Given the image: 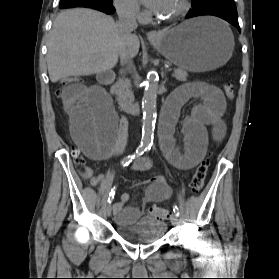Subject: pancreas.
I'll return each mask as SVG.
<instances>
[{
    "label": "pancreas",
    "instance_id": "cf45deb5",
    "mask_svg": "<svg viewBox=\"0 0 279 279\" xmlns=\"http://www.w3.org/2000/svg\"><path fill=\"white\" fill-rule=\"evenodd\" d=\"M187 76L188 74L186 71L181 69L174 70L173 77H175L178 81H186ZM114 91L119 101H129L133 98L130 80L125 77H120L118 79L114 87Z\"/></svg>",
    "mask_w": 279,
    "mask_h": 279
}]
</instances>
